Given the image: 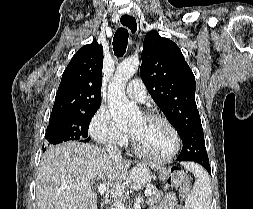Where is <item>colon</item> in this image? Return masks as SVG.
I'll return each mask as SVG.
<instances>
[{
  "instance_id": "colon-1",
  "label": "colon",
  "mask_w": 253,
  "mask_h": 209,
  "mask_svg": "<svg viewBox=\"0 0 253 209\" xmlns=\"http://www.w3.org/2000/svg\"><path fill=\"white\" fill-rule=\"evenodd\" d=\"M168 183L171 186L179 187L181 199H185L188 196L190 190V181L184 171L178 169H171L169 171Z\"/></svg>"
}]
</instances>
